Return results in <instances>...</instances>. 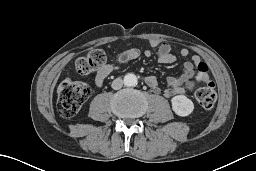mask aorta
Listing matches in <instances>:
<instances>
[{"mask_svg": "<svg viewBox=\"0 0 256 171\" xmlns=\"http://www.w3.org/2000/svg\"><path fill=\"white\" fill-rule=\"evenodd\" d=\"M124 84L128 87L136 86L138 83L137 77L133 73H128L124 76Z\"/></svg>", "mask_w": 256, "mask_h": 171, "instance_id": "762f6f07", "label": "aorta"}]
</instances>
